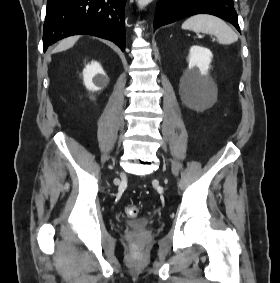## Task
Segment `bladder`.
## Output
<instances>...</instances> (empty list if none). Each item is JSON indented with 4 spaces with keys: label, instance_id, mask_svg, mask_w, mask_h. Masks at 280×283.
<instances>
[{
    "label": "bladder",
    "instance_id": "1",
    "mask_svg": "<svg viewBox=\"0 0 280 283\" xmlns=\"http://www.w3.org/2000/svg\"><path fill=\"white\" fill-rule=\"evenodd\" d=\"M126 226L133 231L142 232L151 226V220L148 218L134 219L126 222Z\"/></svg>",
    "mask_w": 280,
    "mask_h": 283
}]
</instances>
